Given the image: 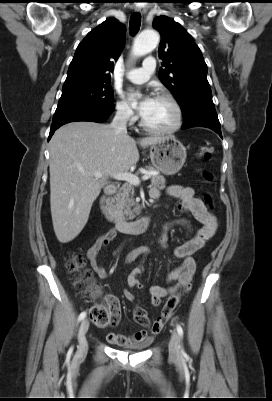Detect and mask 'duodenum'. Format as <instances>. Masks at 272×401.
Listing matches in <instances>:
<instances>
[{
  "mask_svg": "<svg viewBox=\"0 0 272 401\" xmlns=\"http://www.w3.org/2000/svg\"><path fill=\"white\" fill-rule=\"evenodd\" d=\"M117 192V187L115 185H108L104 194L101 197L100 207L106 220L112 223L115 228L122 233H134L140 234L147 230L149 226V218L144 216L136 220H126L121 216L114 213L111 197Z\"/></svg>",
  "mask_w": 272,
  "mask_h": 401,
  "instance_id": "410a0bca",
  "label": "duodenum"
}]
</instances>
